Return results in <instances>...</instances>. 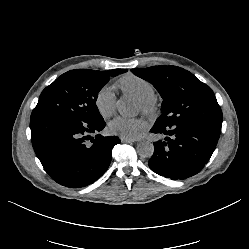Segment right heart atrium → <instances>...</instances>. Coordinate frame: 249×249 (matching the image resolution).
<instances>
[{"instance_id":"obj_1","label":"right heart atrium","mask_w":249,"mask_h":249,"mask_svg":"<svg viewBox=\"0 0 249 249\" xmlns=\"http://www.w3.org/2000/svg\"><path fill=\"white\" fill-rule=\"evenodd\" d=\"M116 94L110 85L101 86L94 98V104L98 113L106 118L115 111Z\"/></svg>"}]
</instances>
